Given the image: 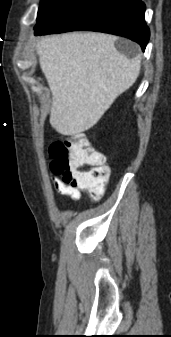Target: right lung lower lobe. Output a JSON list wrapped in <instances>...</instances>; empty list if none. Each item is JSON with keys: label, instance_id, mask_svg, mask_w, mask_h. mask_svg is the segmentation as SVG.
Wrapping results in <instances>:
<instances>
[{"label": "right lung lower lobe", "instance_id": "obj_1", "mask_svg": "<svg viewBox=\"0 0 171 337\" xmlns=\"http://www.w3.org/2000/svg\"><path fill=\"white\" fill-rule=\"evenodd\" d=\"M145 9L141 0H71L51 20L35 28V35L76 30L106 32L127 37L144 51L150 37Z\"/></svg>", "mask_w": 171, "mask_h": 337}]
</instances>
